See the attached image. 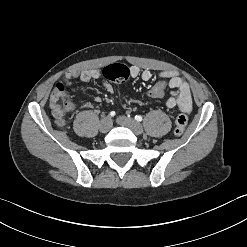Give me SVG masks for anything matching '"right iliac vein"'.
<instances>
[{
	"label": "right iliac vein",
	"mask_w": 247,
	"mask_h": 247,
	"mask_svg": "<svg viewBox=\"0 0 247 247\" xmlns=\"http://www.w3.org/2000/svg\"><path fill=\"white\" fill-rule=\"evenodd\" d=\"M112 127V120L110 117H104L99 123V130L102 133H107Z\"/></svg>",
	"instance_id": "63e3f726"
}]
</instances>
